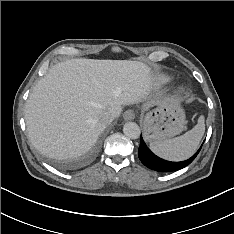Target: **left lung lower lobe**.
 <instances>
[{"label": "left lung lower lobe", "instance_id": "left-lung-lower-lobe-1", "mask_svg": "<svg viewBox=\"0 0 234 234\" xmlns=\"http://www.w3.org/2000/svg\"><path fill=\"white\" fill-rule=\"evenodd\" d=\"M201 147L199 150L188 160L182 161V162H170L163 160L153 154L149 148L146 146L145 142L143 141L141 137L140 146L138 148V156L141 162L148 168L159 171V172H171V171H177L179 169H182L189 165L195 157L200 152Z\"/></svg>", "mask_w": 234, "mask_h": 234}]
</instances>
